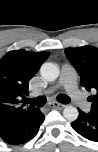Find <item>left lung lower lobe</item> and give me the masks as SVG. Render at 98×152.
<instances>
[{
	"label": "left lung lower lobe",
	"mask_w": 98,
	"mask_h": 152,
	"mask_svg": "<svg viewBox=\"0 0 98 152\" xmlns=\"http://www.w3.org/2000/svg\"><path fill=\"white\" fill-rule=\"evenodd\" d=\"M72 128L81 136L91 141L98 140V115L79 110L78 118L72 122Z\"/></svg>",
	"instance_id": "obj_1"
}]
</instances>
